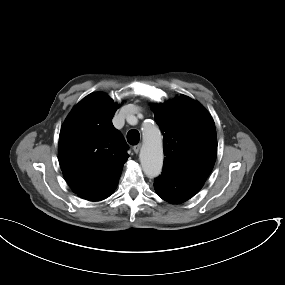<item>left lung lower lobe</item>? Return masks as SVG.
Instances as JSON below:
<instances>
[{
    "mask_svg": "<svg viewBox=\"0 0 285 285\" xmlns=\"http://www.w3.org/2000/svg\"><path fill=\"white\" fill-rule=\"evenodd\" d=\"M203 183L179 176L169 171L154 180V188L163 200L178 204L193 197L202 187Z\"/></svg>",
    "mask_w": 285,
    "mask_h": 285,
    "instance_id": "0a47b994",
    "label": "left lung lower lobe"
}]
</instances>
